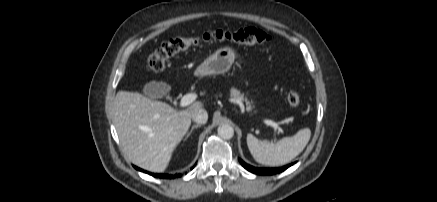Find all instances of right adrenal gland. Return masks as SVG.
<instances>
[{"instance_id":"obj_1","label":"right adrenal gland","mask_w":437,"mask_h":202,"mask_svg":"<svg viewBox=\"0 0 437 202\" xmlns=\"http://www.w3.org/2000/svg\"><path fill=\"white\" fill-rule=\"evenodd\" d=\"M198 127H201V125H200V124L193 125L192 128H191V130L187 133V135H186V137H185L184 140H187L188 137H189V136L191 135V133L193 132V130H194L195 128H198Z\"/></svg>"}]
</instances>
